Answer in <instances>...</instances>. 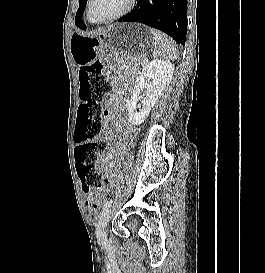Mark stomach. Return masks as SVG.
I'll return each instance as SVG.
<instances>
[{"label": "stomach", "mask_w": 265, "mask_h": 273, "mask_svg": "<svg viewBox=\"0 0 265 273\" xmlns=\"http://www.w3.org/2000/svg\"><path fill=\"white\" fill-rule=\"evenodd\" d=\"M98 35L74 33L71 37V54L79 65L96 59L102 42L106 49H129L102 51V56H117L114 64H127L134 56H151V51L141 49H153L157 39L156 30H149V25H106V30H98Z\"/></svg>", "instance_id": "stomach-1"}]
</instances>
